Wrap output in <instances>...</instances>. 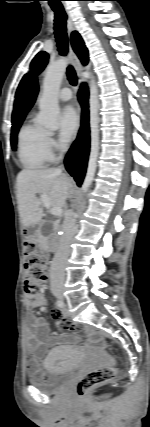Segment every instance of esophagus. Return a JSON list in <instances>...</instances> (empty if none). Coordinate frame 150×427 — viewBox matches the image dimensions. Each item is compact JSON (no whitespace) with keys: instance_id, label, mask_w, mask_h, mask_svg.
<instances>
[{"instance_id":"34e87169","label":"esophagus","mask_w":150,"mask_h":427,"mask_svg":"<svg viewBox=\"0 0 150 427\" xmlns=\"http://www.w3.org/2000/svg\"><path fill=\"white\" fill-rule=\"evenodd\" d=\"M66 12H67V15H68V18H67V33H68V37L70 39L71 33L74 30V25H73L72 19L69 16L67 10H66ZM68 48H69V54H70V58H71L72 64H73V66H74V68L76 70V73H77L78 77H79V82L82 83L84 81V79L81 77V71H82L81 64H80V61H79L77 55L75 54V52L72 49L70 41L68 43ZM80 110L81 109L79 108V111Z\"/></svg>"}]
</instances>
